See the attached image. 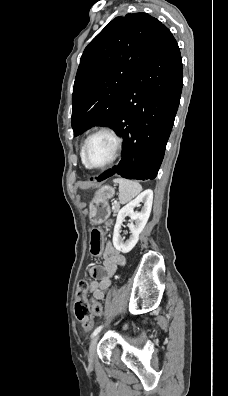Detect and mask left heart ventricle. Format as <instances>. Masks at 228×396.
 <instances>
[{"instance_id": "1", "label": "left heart ventricle", "mask_w": 228, "mask_h": 396, "mask_svg": "<svg viewBox=\"0 0 228 396\" xmlns=\"http://www.w3.org/2000/svg\"><path fill=\"white\" fill-rule=\"evenodd\" d=\"M114 141L107 134L94 136L87 148V159L91 165H101L112 156Z\"/></svg>"}]
</instances>
